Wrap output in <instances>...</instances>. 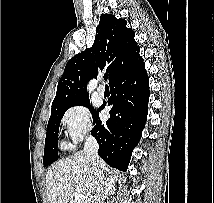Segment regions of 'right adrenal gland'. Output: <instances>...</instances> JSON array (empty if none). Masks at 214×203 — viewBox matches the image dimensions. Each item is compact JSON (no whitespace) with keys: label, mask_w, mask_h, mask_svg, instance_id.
Instances as JSON below:
<instances>
[{"label":"right adrenal gland","mask_w":214,"mask_h":203,"mask_svg":"<svg viewBox=\"0 0 214 203\" xmlns=\"http://www.w3.org/2000/svg\"><path fill=\"white\" fill-rule=\"evenodd\" d=\"M105 198H106V196H105ZM104 200H105V199H103L102 203H104Z\"/></svg>","instance_id":"1"}]
</instances>
